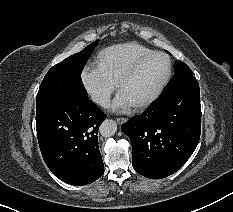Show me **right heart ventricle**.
Listing matches in <instances>:
<instances>
[{"instance_id":"1","label":"right heart ventricle","mask_w":233,"mask_h":212,"mask_svg":"<svg viewBox=\"0 0 233 212\" xmlns=\"http://www.w3.org/2000/svg\"><path fill=\"white\" fill-rule=\"evenodd\" d=\"M151 51L146 46L135 42L113 45L98 54V65L118 83L133 62Z\"/></svg>"}]
</instances>
